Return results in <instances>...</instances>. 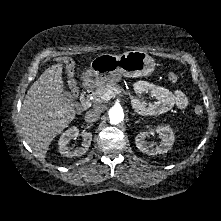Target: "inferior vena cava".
I'll use <instances>...</instances> for the list:
<instances>
[{"label":"inferior vena cava","mask_w":221,"mask_h":221,"mask_svg":"<svg viewBox=\"0 0 221 221\" xmlns=\"http://www.w3.org/2000/svg\"><path fill=\"white\" fill-rule=\"evenodd\" d=\"M101 111L99 109H91L85 114L86 123H94L98 120Z\"/></svg>","instance_id":"inferior-vena-cava-1"}]
</instances>
